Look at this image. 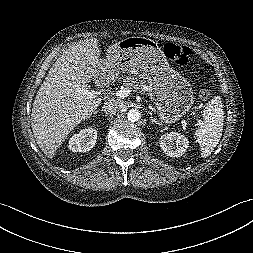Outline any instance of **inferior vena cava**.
<instances>
[{"label": "inferior vena cava", "mask_w": 253, "mask_h": 253, "mask_svg": "<svg viewBox=\"0 0 253 253\" xmlns=\"http://www.w3.org/2000/svg\"><path fill=\"white\" fill-rule=\"evenodd\" d=\"M121 108H122L121 101L112 99V100H108L104 103V105L102 107V111L106 115H115L116 113H118L120 111Z\"/></svg>", "instance_id": "inferior-vena-cava-1"}]
</instances>
